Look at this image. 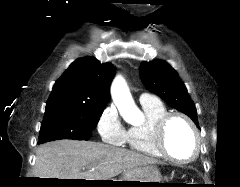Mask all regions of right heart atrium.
<instances>
[{
    "label": "right heart atrium",
    "instance_id": "1",
    "mask_svg": "<svg viewBox=\"0 0 240 187\" xmlns=\"http://www.w3.org/2000/svg\"><path fill=\"white\" fill-rule=\"evenodd\" d=\"M96 130L102 142L114 146L126 143L127 131L119 118L114 106L106 107L96 122Z\"/></svg>",
    "mask_w": 240,
    "mask_h": 187
}]
</instances>
